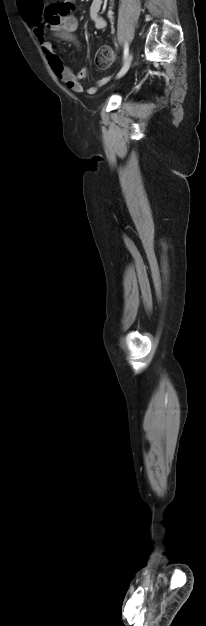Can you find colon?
Segmentation results:
<instances>
[{"label":"colon","mask_w":206,"mask_h":626,"mask_svg":"<svg viewBox=\"0 0 206 626\" xmlns=\"http://www.w3.org/2000/svg\"><path fill=\"white\" fill-rule=\"evenodd\" d=\"M113 51L112 49L104 45L100 47L96 55V64L99 68L106 69L108 68L113 61Z\"/></svg>","instance_id":"colon-1"}]
</instances>
